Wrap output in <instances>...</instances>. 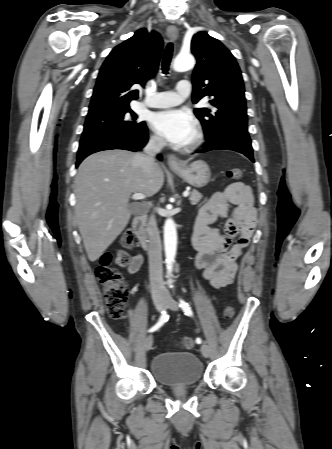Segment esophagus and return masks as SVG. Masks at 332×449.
<instances>
[{
    "mask_svg": "<svg viewBox=\"0 0 332 449\" xmlns=\"http://www.w3.org/2000/svg\"><path fill=\"white\" fill-rule=\"evenodd\" d=\"M167 36L171 41H175L178 38V29L175 25H169L167 28ZM167 163L171 168H181L182 162L174 155L169 154L167 157Z\"/></svg>",
    "mask_w": 332,
    "mask_h": 449,
    "instance_id": "obj_1",
    "label": "esophagus"
}]
</instances>
